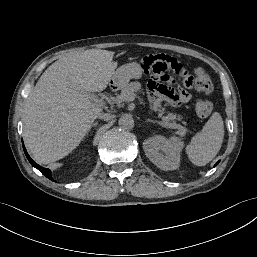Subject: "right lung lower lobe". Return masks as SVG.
Here are the masks:
<instances>
[{"label": "right lung lower lobe", "instance_id": "obj_1", "mask_svg": "<svg viewBox=\"0 0 257 257\" xmlns=\"http://www.w3.org/2000/svg\"><path fill=\"white\" fill-rule=\"evenodd\" d=\"M23 149H24V152H25V155L27 157V159L29 160V162L35 167L37 168L43 175H45L47 178H49L50 180L53 181L52 177H51V171L47 168H43L41 166H39L38 164H36L31 158L30 156L28 155L24 145H23Z\"/></svg>", "mask_w": 257, "mask_h": 257}]
</instances>
